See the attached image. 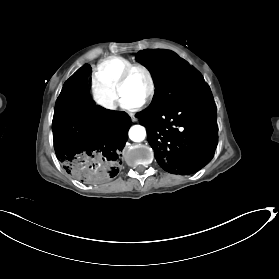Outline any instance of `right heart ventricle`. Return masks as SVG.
Returning a JSON list of instances; mask_svg holds the SVG:
<instances>
[{
	"label": "right heart ventricle",
	"mask_w": 279,
	"mask_h": 279,
	"mask_svg": "<svg viewBox=\"0 0 279 279\" xmlns=\"http://www.w3.org/2000/svg\"><path fill=\"white\" fill-rule=\"evenodd\" d=\"M133 62L121 56H109L100 60L92 70L93 84H101L117 94L121 72Z\"/></svg>",
	"instance_id": "1"
}]
</instances>
